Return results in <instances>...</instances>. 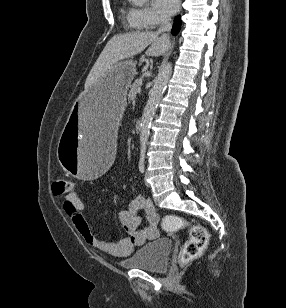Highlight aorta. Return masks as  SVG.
<instances>
[{
	"label": "aorta",
	"instance_id": "762f6f07",
	"mask_svg": "<svg viewBox=\"0 0 286 308\" xmlns=\"http://www.w3.org/2000/svg\"><path fill=\"white\" fill-rule=\"evenodd\" d=\"M147 0H132L135 4H143ZM172 74V64L164 63L160 69L158 76L154 82L152 89L149 92V99L144 108L141 124H140V143L144 147L146 146L149 135L150 126L153 119V115L157 109L158 103L166 89L169 79Z\"/></svg>",
	"mask_w": 286,
	"mask_h": 308
}]
</instances>
